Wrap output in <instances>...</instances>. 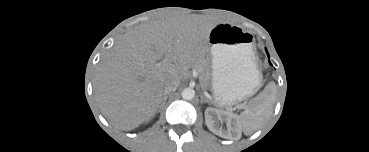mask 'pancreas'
<instances>
[{"instance_id":"pancreas-1","label":"pancreas","mask_w":369,"mask_h":152,"mask_svg":"<svg viewBox=\"0 0 369 152\" xmlns=\"http://www.w3.org/2000/svg\"><path fill=\"white\" fill-rule=\"evenodd\" d=\"M201 81H202L203 86H207L208 85L207 78H201Z\"/></svg>"}]
</instances>
